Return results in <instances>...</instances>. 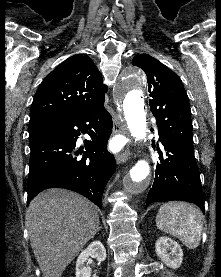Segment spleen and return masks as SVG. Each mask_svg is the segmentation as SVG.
<instances>
[{
  "instance_id": "obj_1",
  "label": "spleen",
  "mask_w": 221,
  "mask_h": 277,
  "mask_svg": "<svg viewBox=\"0 0 221 277\" xmlns=\"http://www.w3.org/2000/svg\"><path fill=\"white\" fill-rule=\"evenodd\" d=\"M163 232L177 237L188 248H196L202 235V216L198 208L185 202L163 204L156 217Z\"/></svg>"
}]
</instances>
